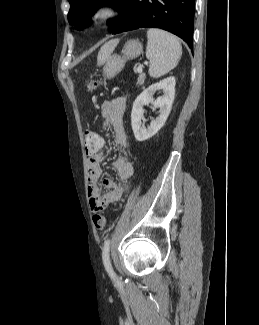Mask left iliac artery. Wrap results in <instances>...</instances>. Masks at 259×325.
<instances>
[{
  "label": "left iliac artery",
  "mask_w": 259,
  "mask_h": 325,
  "mask_svg": "<svg viewBox=\"0 0 259 325\" xmlns=\"http://www.w3.org/2000/svg\"><path fill=\"white\" fill-rule=\"evenodd\" d=\"M109 251H110V239H107L104 242V247H103V250H102V259H103L104 267L107 270L108 274L111 277H114L115 274H114V271H113L112 266H111Z\"/></svg>",
  "instance_id": "left-iliac-artery-1"
}]
</instances>
